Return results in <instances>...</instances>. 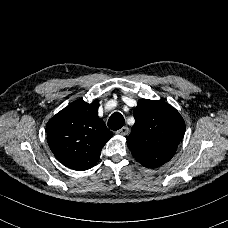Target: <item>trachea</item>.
Instances as JSON below:
<instances>
[{"label":"trachea","instance_id":"3493384b","mask_svg":"<svg viewBox=\"0 0 228 228\" xmlns=\"http://www.w3.org/2000/svg\"><path fill=\"white\" fill-rule=\"evenodd\" d=\"M124 123V117L119 112H115L110 116L107 124L111 130H119L124 126Z\"/></svg>","mask_w":228,"mask_h":228}]
</instances>
